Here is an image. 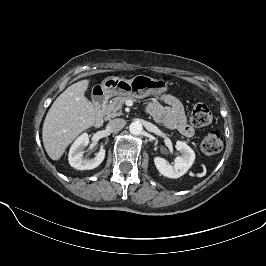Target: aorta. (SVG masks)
I'll return each mask as SVG.
<instances>
[{
  "label": "aorta",
  "instance_id": "obj_1",
  "mask_svg": "<svg viewBox=\"0 0 266 266\" xmlns=\"http://www.w3.org/2000/svg\"><path fill=\"white\" fill-rule=\"evenodd\" d=\"M129 131L133 135H140L143 131L142 124L139 121L132 122L129 126Z\"/></svg>",
  "mask_w": 266,
  "mask_h": 266
}]
</instances>
